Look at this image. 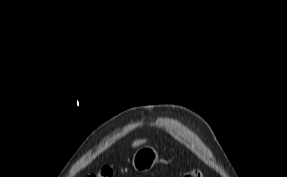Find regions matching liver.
<instances>
[{"label": "liver", "instance_id": "6515ba94", "mask_svg": "<svg viewBox=\"0 0 287 177\" xmlns=\"http://www.w3.org/2000/svg\"><path fill=\"white\" fill-rule=\"evenodd\" d=\"M143 143H145V140H136L133 142V147L140 146Z\"/></svg>", "mask_w": 287, "mask_h": 177}]
</instances>
